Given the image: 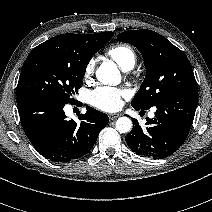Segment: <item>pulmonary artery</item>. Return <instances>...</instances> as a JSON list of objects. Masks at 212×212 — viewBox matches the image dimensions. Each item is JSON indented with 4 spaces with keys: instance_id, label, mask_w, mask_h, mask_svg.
I'll list each match as a JSON object with an SVG mask.
<instances>
[{
    "instance_id": "obj_1",
    "label": "pulmonary artery",
    "mask_w": 212,
    "mask_h": 212,
    "mask_svg": "<svg viewBox=\"0 0 212 212\" xmlns=\"http://www.w3.org/2000/svg\"><path fill=\"white\" fill-rule=\"evenodd\" d=\"M153 116H154V113H153V112H151V113H150V117H153Z\"/></svg>"
}]
</instances>
